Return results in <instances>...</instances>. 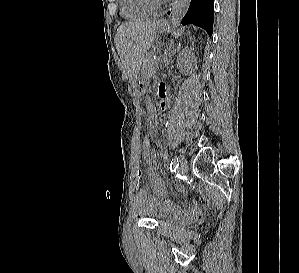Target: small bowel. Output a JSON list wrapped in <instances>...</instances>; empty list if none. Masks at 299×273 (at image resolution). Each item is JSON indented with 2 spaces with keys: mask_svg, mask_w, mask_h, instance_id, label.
<instances>
[{
  "mask_svg": "<svg viewBox=\"0 0 299 273\" xmlns=\"http://www.w3.org/2000/svg\"><path fill=\"white\" fill-rule=\"evenodd\" d=\"M158 95L160 102H166V90L164 86H160ZM142 158L146 165V172L149 177L150 186L155 195L153 196L146 190L141 189L135 197V210L140 212L141 210L150 207L166 217H173L179 220L190 218L191 215L187 209L173 203L171 205H167L163 201L166 197L167 190L165 183L158 172L159 164L151 157L150 146L143 148ZM138 176L140 177V172ZM179 190L182 192L185 191L183 187H180Z\"/></svg>",
  "mask_w": 299,
  "mask_h": 273,
  "instance_id": "small-bowel-1",
  "label": "small bowel"
}]
</instances>
